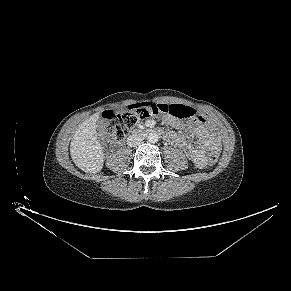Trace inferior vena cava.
I'll list each match as a JSON object with an SVG mask.
<instances>
[{"label":"inferior vena cava","mask_w":291,"mask_h":291,"mask_svg":"<svg viewBox=\"0 0 291 291\" xmlns=\"http://www.w3.org/2000/svg\"><path fill=\"white\" fill-rule=\"evenodd\" d=\"M141 143H142V139L140 137H137V136H130L127 139V144L130 147L138 146Z\"/></svg>","instance_id":"1"}]
</instances>
